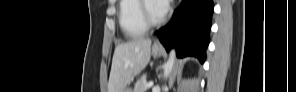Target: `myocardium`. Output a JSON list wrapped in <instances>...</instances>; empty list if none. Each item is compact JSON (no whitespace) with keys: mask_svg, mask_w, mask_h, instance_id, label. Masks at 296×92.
Returning <instances> with one entry per match:
<instances>
[{"mask_svg":"<svg viewBox=\"0 0 296 92\" xmlns=\"http://www.w3.org/2000/svg\"><path fill=\"white\" fill-rule=\"evenodd\" d=\"M151 1H141L140 18L146 28H154L163 22V18L153 19L149 12Z\"/></svg>","mask_w":296,"mask_h":92,"instance_id":"f54148a6","label":"myocardium"}]
</instances>
